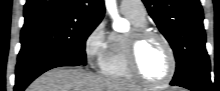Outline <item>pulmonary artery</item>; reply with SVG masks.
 <instances>
[{"instance_id":"1","label":"pulmonary artery","mask_w":220,"mask_h":91,"mask_svg":"<svg viewBox=\"0 0 220 91\" xmlns=\"http://www.w3.org/2000/svg\"><path fill=\"white\" fill-rule=\"evenodd\" d=\"M121 11L123 14L130 16L137 21H146V8L142 1L124 0L121 2Z\"/></svg>"}]
</instances>
